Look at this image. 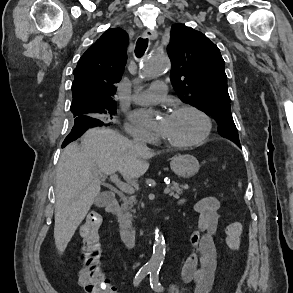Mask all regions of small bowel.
<instances>
[{
	"instance_id": "1",
	"label": "small bowel",
	"mask_w": 293,
	"mask_h": 293,
	"mask_svg": "<svg viewBox=\"0 0 293 293\" xmlns=\"http://www.w3.org/2000/svg\"><path fill=\"white\" fill-rule=\"evenodd\" d=\"M219 207V201L214 196L204 197L193 206L198 215L190 234L193 251L182 268L183 281L195 284L192 293H209L214 283L217 266L215 237L221 218ZM178 290L175 287L171 289L173 292Z\"/></svg>"
}]
</instances>
